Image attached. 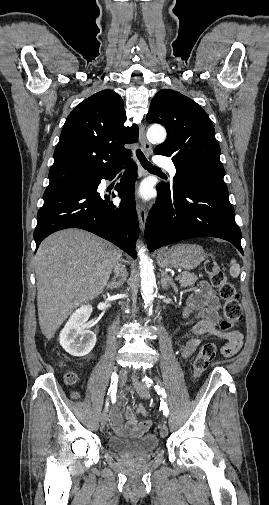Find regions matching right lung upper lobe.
I'll list each match as a JSON object with an SVG mask.
<instances>
[{"instance_id":"obj_1","label":"right lung upper lobe","mask_w":269,"mask_h":505,"mask_svg":"<svg viewBox=\"0 0 269 505\" xmlns=\"http://www.w3.org/2000/svg\"><path fill=\"white\" fill-rule=\"evenodd\" d=\"M122 98L103 90L82 101L69 114L54 152L49 186L54 189L84 182L128 159L124 144L138 140V127H125Z\"/></svg>"}]
</instances>
